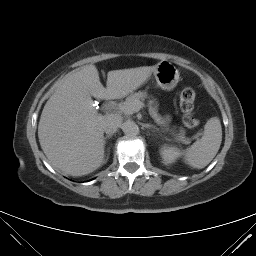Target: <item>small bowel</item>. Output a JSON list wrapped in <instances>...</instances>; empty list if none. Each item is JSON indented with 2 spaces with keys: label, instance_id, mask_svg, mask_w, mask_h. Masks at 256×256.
Returning a JSON list of instances; mask_svg holds the SVG:
<instances>
[{
  "label": "small bowel",
  "instance_id": "small-bowel-1",
  "mask_svg": "<svg viewBox=\"0 0 256 256\" xmlns=\"http://www.w3.org/2000/svg\"><path fill=\"white\" fill-rule=\"evenodd\" d=\"M155 119L158 121V122H164L166 120V117L164 116H160L158 114H155Z\"/></svg>",
  "mask_w": 256,
  "mask_h": 256
}]
</instances>
